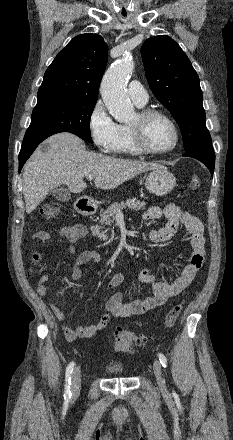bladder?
Returning a JSON list of instances; mask_svg holds the SVG:
<instances>
[{"label": "bladder", "mask_w": 233, "mask_h": 440, "mask_svg": "<svg viewBox=\"0 0 233 440\" xmlns=\"http://www.w3.org/2000/svg\"><path fill=\"white\" fill-rule=\"evenodd\" d=\"M109 372L113 375H122L123 374V368L119 366H111L109 368Z\"/></svg>", "instance_id": "1"}]
</instances>
